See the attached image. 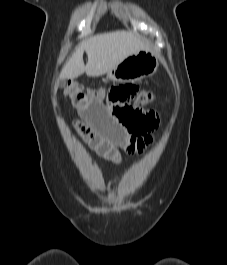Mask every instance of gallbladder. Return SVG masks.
<instances>
[{"instance_id":"gallbladder-1","label":"gallbladder","mask_w":227,"mask_h":265,"mask_svg":"<svg viewBox=\"0 0 227 265\" xmlns=\"http://www.w3.org/2000/svg\"><path fill=\"white\" fill-rule=\"evenodd\" d=\"M65 85H66L65 80H60V86H61V87H65Z\"/></svg>"}]
</instances>
